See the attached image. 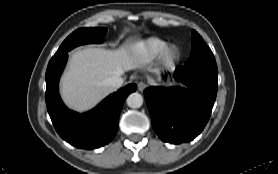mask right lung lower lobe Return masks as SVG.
<instances>
[{"instance_id":"98d812e1","label":"right lung lower lobe","mask_w":278,"mask_h":174,"mask_svg":"<svg viewBox=\"0 0 278 174\" xmlns=\"http://www.w3.org/2000/svg\"><path fill=\"white\" fill-rule=\"evenodd\" d=\"M67 57V52L53 57L46 71V105L52 123L57 133L77 148L94 149L106 145L117 133L125 99L137 86H125L85 114L73 112L63 104L58 92L59 77Z\"/></svg>"}]
</instances>
